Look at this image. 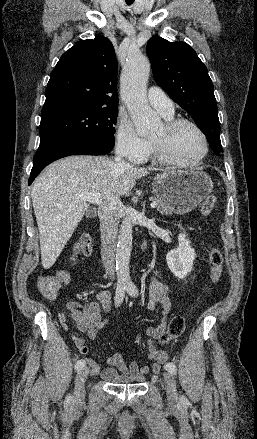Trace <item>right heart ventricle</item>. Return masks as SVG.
I'll use <instances>...</instances> for the list:
<instances>
[{
  "label": "right heart ventricle",
  "mask_w": 257,
  "mask_h": 439,
  "mask_svg": "<svg viewBox=\"0 0 257 439\" xmlns=\"http://www.w3.org/2000/svg\"><path fill=\"white\" fill-rule=\"evenodd\" d=\"M167 120H171L172 119V116H169V117H165ZM154 148H153V145H152V142L151 141H149V152H148V155L146 156V158L145 159H147L148 157H150L151 155H153L154 154ZM144 159V160H145Z\"/></svg>",
  "instance_id": "1"
}]
</instances>
